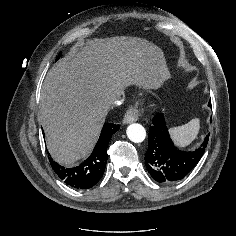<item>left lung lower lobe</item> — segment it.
<instances>
[{"label":"left lung lower lobe","mask_w":236,"mask_h":236,"mask_svg":"<svg viewBox=\"0 0 236 236\" xmlns=\"http://www.w3.org/2000/svg\"><path fill=\"white\" fill-rule=\"evenodd\" d=\"M149 128V145L145 164L151 176L160 183H173L183 179L199 162L205 152L209 135L194 151H182L172 142L163 114H157Z\"/></svg>","instance_id":"0a47b994"}]
</instances>
